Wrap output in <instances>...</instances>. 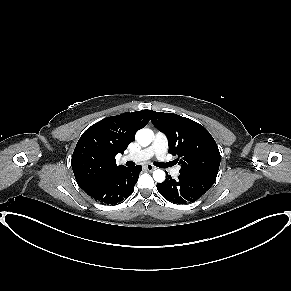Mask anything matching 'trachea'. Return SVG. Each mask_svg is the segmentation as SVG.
Returning a JSON list of instances; mask_svg holds the SVG:
<instances>
[{
  "instance_id": "1",
  "label": "trachea",
  "mask_w": 291,
  "mask_h": 291,
  "mask_svg": "<svg viewBox=\"0 0 291 291\" xmlns=\"http://www.w3.org/2000/svg\"><path fill=\"white\" fill-rule=\"evenodd\" d=\"M126 165H127V166H134L135 163L132 162V161H128V162L126 163ZM154 165L157 166V167H159V168H166V167H168V166L170 165V163L165 164V163L155 162Z\"/></svg>"
}]
</instances>
